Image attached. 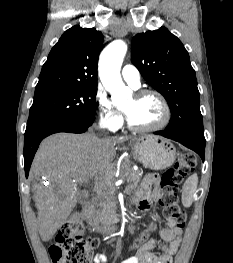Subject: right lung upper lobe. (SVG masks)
Returning a JSON list of instances; mask_svg holds the SVG:
<instances>
[{"label":"right lung upper lobe","mask_w":233,"mask_h":263,"mask_svg":"<svg viewBox=\"0 0 233 263\" xmlns=\"http://www.w3.org/2000/svg\"><path fill=\"white\" fill-rule=\"evenodd\" d=\"M103 35L75 25L61 36L42 67L35 95L75 86H97Z\"/></svg>","instance_id":"right-lung-upper-lobe-1"}]
</instances>
